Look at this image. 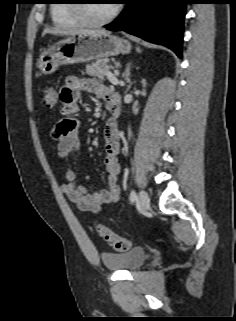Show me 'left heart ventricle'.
<instances>
[{
	"instance_id": "b2bd125f",
	"label": "left heart ventricle",
	"mask_w": 236,
	"mask_h": 321,
	"mask_svg": "<svg viewBox=\"0 0 236 321\" xmlns=\"http://www.w3.org/2000/svg\"><path fill=\"white\" fill-rule=\"evenodd\" d=\"M114 4L110 0H89L87 14L92 19H103L112 11Z\"/></svg>"
}]
</instances>
